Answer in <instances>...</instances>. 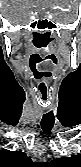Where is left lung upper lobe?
<instances>
[{
	"label": "left lung upper lobe",
	"mask_w": 81,
	"mask_h": 167,
	"mask_svg": "<svg viewBox=\"0 0 81 167\" xmlns=\"http://www.w3.org/2000/svg\"><path fill=\"white\" fill-rule=\"evenodd\" d=\"M80 155H73L72 157H62L54 159L52 162L47 163L49 167H78Z\"/></svg>",
	"instance_id": "obj_1"
}]
</instances>
